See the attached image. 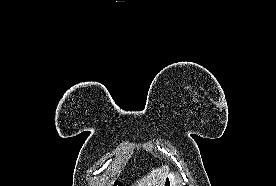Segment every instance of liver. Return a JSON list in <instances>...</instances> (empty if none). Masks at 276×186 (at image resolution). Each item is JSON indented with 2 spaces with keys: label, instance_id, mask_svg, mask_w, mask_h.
Here are the masks:
<instances>
[{
  "label": "liver",
  "instance_id": "liver-1",
  "mask_svg": "<svg viewBox=\"0 0 276 186\" xmlns=\"http://www.w3.org/2000/svg\"><path fill=\"white\" fill-rule=\"evenodd\" d=\"M168 171V166L153 169L146 177L133 186H162L165 173Z\"/></svg>",
  "mask_w": 276,
  "mask_h": 186
}]
</instances>
